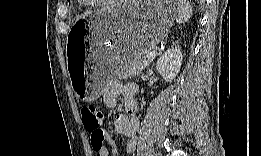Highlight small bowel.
<instances>
[{"label": "small bowel", "mask_w": 261, "mask_h": 156, "mask_svg": "<svg viewBox=\"0 0 261 156\" xmlns=\"http://www.w3.org/2000/svg\"><path fill=\"white\" fill-rule=\"evenodd\" d=\"M124 97V107L126 114H120L115 118V129L117 133L122 135L126 141L124 144V151L126 155L132 154L137 145L138 130H139V119L137 117V104L135 102L134 96L137 92V87L135 84H126L121 90ZM117 93L118 88L115 86H110L104 92V103L110 107L114 108L117 106ZM109 145L110 149L103 145L98 149H94L98 156H109L116 155V145L113 139L104 133V139Z\"/></svg>", "instance_id": "small-bowel-1"}]
</instances>
